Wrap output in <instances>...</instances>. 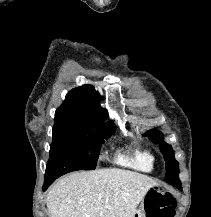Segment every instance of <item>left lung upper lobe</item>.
Instances as JSON below:
<instances>
[{
    "mask_svg": "<svg viewBox=\"0 0 211 217\" xmlns=\"http://www.w3.org/2000/svg\"><path fill=\"white\" fill-rule=\"evenodd\" d=\"M145 136H148L153 143H160V150L164 155V159L166 161L165 180L169 184L177 188L182 187L178 177L179 174L178 162L174 158V152L172 147L163 141L162 133L154 129L152 131H149L147 134H145Z\"/></svg>",
    "mask_w": 211,
    "mask_h": 217,
    "instance_id": "1",
    "label": "left lung upper lobe"
}]
</instances>
